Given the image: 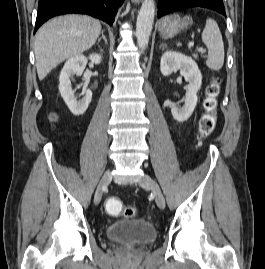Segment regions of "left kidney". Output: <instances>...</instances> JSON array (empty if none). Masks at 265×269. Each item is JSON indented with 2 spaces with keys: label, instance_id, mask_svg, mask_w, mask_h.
I'll use <instances>...</instances> for the list:
<instances>
[{
  "label": "left kidney",
  "instance_id": "1",
  "mask_svg": "<svg viewBox=\"0 0 265 269\" xmlns=\"http://www.w3.org/2000/svg\"><path fill=\"white\" fill-rule=\"evenodd\" d=\"M179 69L180 74L188 82L187 92L184 98V106L171 108L173 118L178 122H184L192 115L197 101V92L201 88L202 75L196 62L186 55L175 51H166L161 58L160 70L162 75L168 76L174 70Z\"/></svg>",
  "mask_w": 265,
  "mask_h": 269
}]
</instances>
